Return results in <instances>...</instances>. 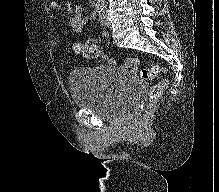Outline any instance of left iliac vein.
<instances>
[{
  "instance_id": "obj_1",
  "label": "left iliac vein",
  "mask_w": 219,
  "mask_h": 192,
  "mask_svg": "<svg viewBox=\"0 0 219 192\" xmlns=\"http://www.w3.org/2000/svg\"><path fill=\"white\" fill-rule=\"evenodd\" d=\"M101 22L104 26L108 27V28H111V22L108 18V14H107V11L105 10L103 12V14L101 15Z\"/></svg>"
}]
</instances>
